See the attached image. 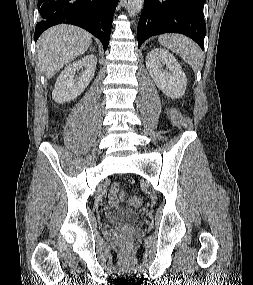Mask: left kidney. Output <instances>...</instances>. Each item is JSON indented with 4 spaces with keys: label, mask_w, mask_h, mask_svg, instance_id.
<instances>
[{
    "label": "left kidney",
    "mask_w": 253,
    "mask_h": 285,
    "mask_svg": "<svg viewBox=\"0 0 253 285\" xmlns=\"http://www.w3.org/2000/svg\"><path fill=\"white\" fill-rule=\"evenodd\" d=\"M163 66L166 68L163 69ZM146 67L157 87L172 99L184 95L187 78L176 58L165 49H153L146 56Z\"/></svg>",
    "instance_id": "obj_1"
}]
</instances>
